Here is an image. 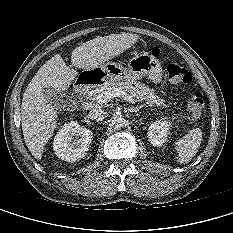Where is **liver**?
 Returning <instances> with one entry per match:
<instances>
[{
	"instance_id": "6515ba94",
	"label": "liver",
	"mask_w": 233,
	"mask_h": 233,
	"mask_svg": "<svg viewBox=\"0 0 233 233\" xmlns=\"http://www.w3.org/2000/svg\"><path fill=\"white\" fill-rule=\"evenodd\" d=\"M139 39L137 34L121 33L98 36L72 51L75 68L91 70L131 48ZM78 72L67 66L60 54L54 55L36 73L27 86L21 104V125L24 140L31 154L42 158L45 144L57 128V111L45 98L43 90H67Z\"/></svg>"
}]
</instances>
